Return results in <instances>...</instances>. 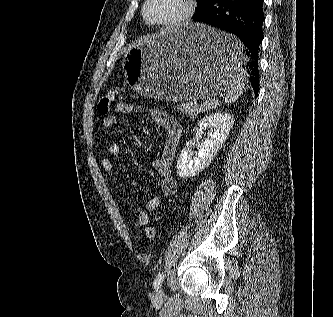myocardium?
I'll list each match as a JSON object with an SVG mask.
<instances>
[{
    "label": "myocardium",
    "mask_w": 333,
    "mask_h": 317,
    "mask_svg": "<svg viewBox=\"0 0 333 317\" xmlns=\"http://www.w3.org/2000/svg\"><path fill=\"white\" fill-rule=\"evenodd\" d=\"M151 0H145L142 7V16L146 23L155 27L178 28L187 23L193 16L196 8L194 0H180L182 11L176 17L169 20H156L148 15V6Z\"/></svg>",
    "instance_id": "1"
}]
</instances>
